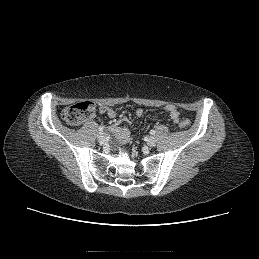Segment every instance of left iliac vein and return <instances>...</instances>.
<instances>
[{"label": "left iliac vein", "instance_id": "4c4485c4", "mask_svg": "<svg viewBox=\"0 0 259 259\" xmlns=\"http://www.w3.org/2000/svg\"><path fill=\"white\" fill-rule=\"evenodd\" d=\"M156 143H157V140H156V138L153 137V136H151V137H149V138L147 139V145H148L149 147H154V146H156Z\"/></svg>", "mask_w": 259, "mask_h": 259}]
</instances>
